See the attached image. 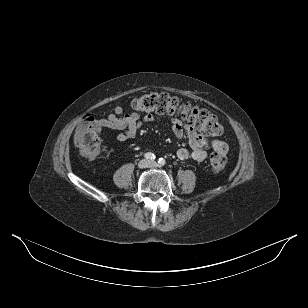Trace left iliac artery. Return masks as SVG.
Listing matches in <instances>:
<instances>
[{
  "label": "left iliac artery",
  "mask_w": 308,
  "mask_h": 308,
  "mask_svg": "<svg viewBox=\"0 0 308 308\" xmlns=\"http://www.w3.org/2000/svg\"><path fill=\"white\" fill-rule=\"evenodd\" d=\"M158 163H159L160 166H163V165H165L166 161H165L164 158H159Z\"/></svg>",
  "instance_id": "44dca946"
}]
</instances>
